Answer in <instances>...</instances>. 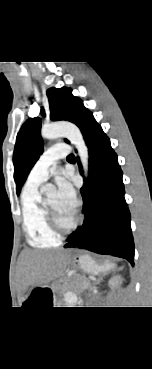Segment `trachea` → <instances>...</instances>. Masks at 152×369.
<instances>
[{"label": "trachea", "instance_id": "trachea-1", "mask_svg": "<svg viewBox=\"0 0 152 369\" xmlns=\"http://www.w3.org/2000/svg\"><path fill=\"white\" fill-rule=\"evenodd\" d=\"M74 155L73 154H70L67 158H73Z\"/></svg>", "mask_w": 152, "mask_h": 369}]
</instances>
